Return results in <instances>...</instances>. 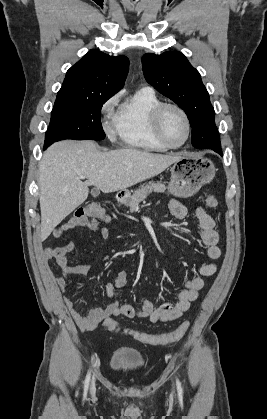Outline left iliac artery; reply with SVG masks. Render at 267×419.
Instances as JSON below:
<instances>
[{"label": "left iliac artery", "instance_id": "obj_1", "mask_svg": "<svg viewBox=\"0 0 267 419\" xmlns=\"http://www.w3.org/2000/svg\"><path fill=\"white\" fill-rule=\"evenodd\" d=\"M176 385H177L178 394L180 396H182L183 391H182V387H181V383H180L179 379H176Z\"/></svg>", "mask_w": 267, "mask_h": 419}]
</instances>
